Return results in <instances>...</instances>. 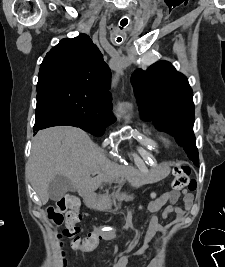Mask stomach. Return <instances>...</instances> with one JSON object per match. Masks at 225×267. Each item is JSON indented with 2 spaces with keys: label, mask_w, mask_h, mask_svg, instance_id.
I'll return each instance as SVG.
<instances>
[{
  "label": "stomach",
  "mask_w": 225,
  "mask_h": 267,
  "mask_svg": "<svg viewBox=\"0 0 225 267\" xmlns=\"http://www.w3.org/2000/svg\"><path fill=\"white\" fill-rule=\"evenodd\" d=\"M167 171H168V169H167V168H164V169H163V173H164V174H166V173H167Z\"/></svg>",
  "instance_id": "1"
}]
</instances>
